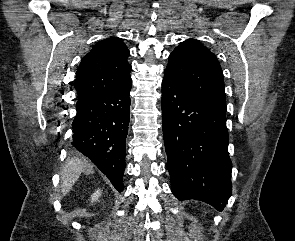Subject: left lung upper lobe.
I'll return each mask as SVG.
<instances>
[{
    "instance_id": "obj_1",
    "label": "left lung upper lobe",
    "mask_w": 295,
    "mask_h": 241,
    "mask_svg": "<svg viewBox=\"0 0 295 241\" xmlns=\"http://www.w3.org/2000/svg\"><path fill=\"white\" fill-rule=\"evenodd\" d=\"M165 74L195 97L226 109L223 73L216 56L196 40L177 46L169 56Z\"/></svg>"
}]
</instances>
